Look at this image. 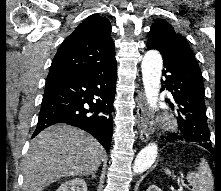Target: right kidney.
I'll return each mask as SVG.
<instances>
[{"label": "right kidney", "mask_w": 221, "mask_h": 191, "mask_svg": "<svg viewBox=\"0 0 221 191\" xmlns=\"http://www.w3.org/2000/svg\"><path fill=\"white\" fill-rule=\"evenodd\" d=\"M57 191H87V184L81 178H75L64 182Z\"/></svg>", "instance_id": "ca27d5eb"}]
</instances>
